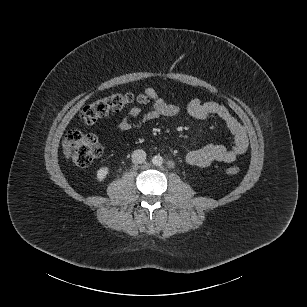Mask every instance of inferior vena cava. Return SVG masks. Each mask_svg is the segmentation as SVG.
<instances>
[{
  "label": "inferior vena cava",
  "instance_id": "602c4592",
  "mask_svg": "<svg viewBox=\"0 0 307 307\" xmlns=\"http://www.w3.org/2000/svg\"><path fill=\"white\" fill-rule=\"evenodd\" d=\"M146 160V153L142 149L134 150L132 153V161L136 164H141Z\"/></svg>",
  "mask_w": 307,
  "mask_h": 307
}]
</instances>
